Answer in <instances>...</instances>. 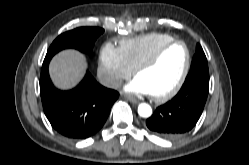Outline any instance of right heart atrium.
<instances>
[{
	"instance_id": "d8ad5b80",
	"label": "right heart atrium",
	"mask_w": 249,
	"mask_h": 165,
	"mask_svg": "<svg viewBox=\"0 0 249 165\" xmlns=\"http://www.w3.org/2000/svg\"><path fill=\"white\" fill-rule=\"evenodd\" d=\"M97 72L101 82L109 88L119 87L132 74L120 49L110 43L105 44L99 53Z\"/></svg>"
}]
</instances>
